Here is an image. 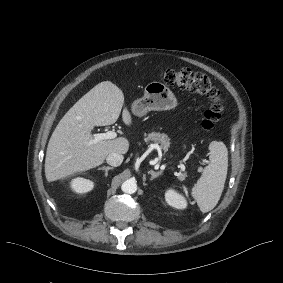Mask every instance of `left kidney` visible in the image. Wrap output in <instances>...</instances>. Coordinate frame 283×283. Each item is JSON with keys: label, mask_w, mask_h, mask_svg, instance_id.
<instances>
[{"label": "left kidney", "mask_w": 283, "mask_h": 283, "mask_svg": "<svg viewBox=\"0 0 283 283\" xmlns=\"http://www.w3.org/2000/svg\"><path fill=\"white\" fill-rule=\"evenodd\" d=\"M165 200L168 205L176 208V209H184L187 207L186 199L176 191L169 189L165 193Z\"/></svg>", "instance_id": "obj_1"}]
</instances>
